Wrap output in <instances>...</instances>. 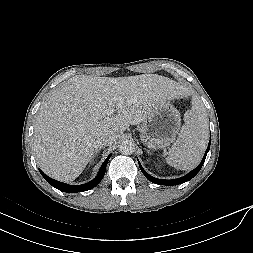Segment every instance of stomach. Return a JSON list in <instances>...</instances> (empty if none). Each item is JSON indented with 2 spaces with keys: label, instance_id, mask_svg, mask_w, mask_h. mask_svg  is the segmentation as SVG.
Segmentation results:
<instances>
[{
  "label": "stomach",
  "instance_id": "1",
  "mask_svg": "<svg viewBox=\"0 0 253 253\" xmlns=\"http://www.w3.org/2000/svg\"><path fill=\"white\" fill-rule=\"evenodd\" d=\"M181 125L180 114L170 100L158 105L143 121L140 139L149 149H162L176 139Z\"/></svg>",
  "mask_w": 253,
  "mask_h": 253
}]
</instances>
